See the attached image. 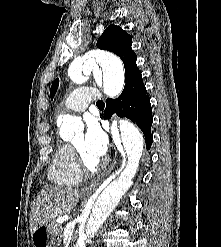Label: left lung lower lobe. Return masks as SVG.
Segmentation results:
<instances>
[{
  "label": "left lung lower lobe",
  "instance_id": "left-lung-lower-lobe-1",
  "mask_svg": "<svg viewBox=\"0 0 221 247\" xmlns=\"http://www.w3.org/2000/svg\"><path fill=\"white\" fill-rule=\"evenodd\" d=\"M143 84L134 82L117 99H107L104 118L109 119L113 113L119 117H126L137 124L145 136L146 148L149 149L153 136L151 126L153 122L150 98Z\"/></svg>",
  "mask_w": 221,
  "mask_h": 247
}]
</instances>
